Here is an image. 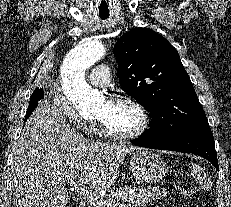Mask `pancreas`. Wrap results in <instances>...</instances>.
<instances>
[{"label": "pancreas", "instance_id": "pancreas-1", "mask_svg": "<svg viewBox=\"0 0 231 207\" xmlns=\"http://www.w3.org/2000/svg\"><path fill=\"white\" fill-rule=\"evenodd\" d=\"M122 196L125 202L132 207H143L150 203L167 196L166 189H159L158 187H142L133 188L129 186L119 187L111 190L101 202H90L87 207H109V204L117 203Z\"/></svg>", "mask_w": 231, "mask_h": 207}]
</instances>
